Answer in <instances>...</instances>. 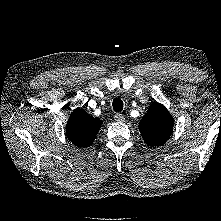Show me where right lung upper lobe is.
<instances>
[{
  "mask_svg": "<svg viewBox=\"0 0 221 221\" xmlns=\"http://www.w3.org/2000/svg\"><path fill=\"white\" fill-rule=\"evenodd\" d=\"M102 122L82 109H76L66 125V135L78 147H87L94 141Z\"/></svg>",
  "mask_w": 221,
  "mask_h": 221,
  "instance_id": "obj_1",
  "label": "right lung upper lobe"
}]
</instances>
